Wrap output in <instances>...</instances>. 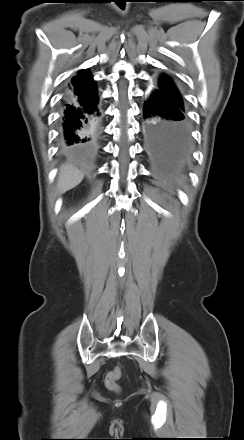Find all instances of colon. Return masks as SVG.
<instances>
[{"label": "colon", "mask_w": 244, "mask_h": 440, "mask_svg": "<svg viewBox=\"0 0 244 440\" xmlns=\"http://www.w3.org/2000/svg\"><path fill=\"white\" fill-rule=\"evenodd\" d=\"M121 368L116 367L114 370L110 371L105 379L106 387L114 392H118L120 390V386L118 384V381L121 377Z\"/></svg>", "instance_id": "colon-1"}]
</instances>
